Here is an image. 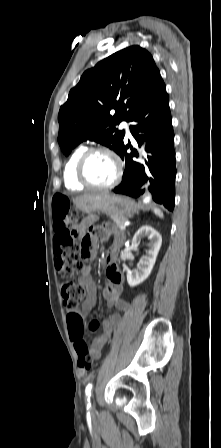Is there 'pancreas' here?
<instances>
[{"label":"pancreas","instance_id":"1","mask_svg":"<svg viewBox=\"0 0 221 448\" xmlns=\"http://www.w3.org/2000/svg\"><path fill=\"white\" fill-rule=\"evenodd\" d=\"M111 219L114 221L116 228L121 229V226L123 223L127 221L126 217H119V216H111Z\"/></svg>","mask_w":221,"mask_h":448}]
</instances>
